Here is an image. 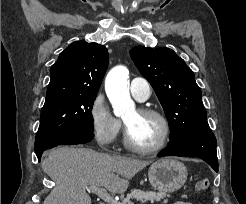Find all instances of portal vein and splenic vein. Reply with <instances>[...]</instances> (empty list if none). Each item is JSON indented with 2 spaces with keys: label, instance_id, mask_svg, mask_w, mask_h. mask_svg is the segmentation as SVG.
<instances>
[{
  "label": "portal vein and splenic vein",
  "instance_id": "1",
  "mask_svg": "<svg viewBox=\"0 0 246 204\" xmlns=\"http://www.w3.org/2000/svg\"><path fill=\"white\" fill-rule=\"evenodd\" d=\"M87 190L89 192L97 194L99 197H101L104 201H106L108 204H121V202L116 201L104 187H98L95 185L87 186Z\"/></svg>",
  "mask_w": 246,
  "mask_h": 204
}]
</instances>
